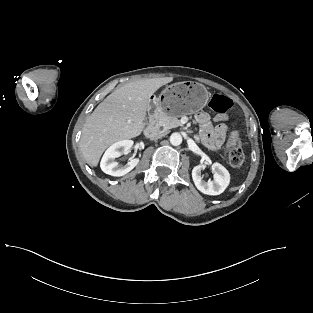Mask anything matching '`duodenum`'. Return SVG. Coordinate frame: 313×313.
<instances>
[{
    "label": "duodenum",
    "mask_w": 313,
    "mask_h": 313,
    "mask_svg": "<svg viewBox=\"0 0 313 313\" xmlns=\"http://www.w3.org/2000/svg\"><path fill=\"white\" fill-rule=\"evenodd\" d=\"M158 133V124H157V117L152 116L150 122L145 130V135L148 138H154Z\"/></svg>",
    "instance_id": "obj_1"
}]
</instances>
